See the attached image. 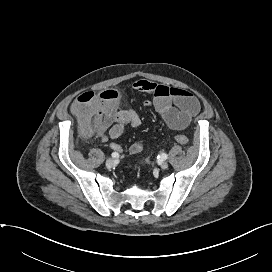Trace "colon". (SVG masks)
<instances>
[{
	"instance_id": "colon-1",
	"label": "colon",
	"mask_w": 272,
	"mask_h": 272,
	"mask_svg": "<svg viewBox=\"0 0 272 272\" xmlns=\"http://www.w3.org/2000/svg\"><path fill=\"white\" fill-rule=\"evenodd\" d=\"M117 98L116 91L106 90L100 93L84 92L75 99L71 110L79 119L84 133L101 130L115 116ZM174 139L179 144L189 143L185 135H176Z\"/></svg>"
}]
</instances>
